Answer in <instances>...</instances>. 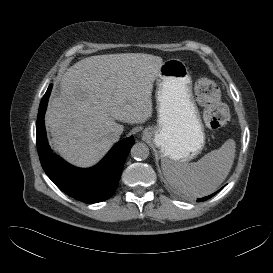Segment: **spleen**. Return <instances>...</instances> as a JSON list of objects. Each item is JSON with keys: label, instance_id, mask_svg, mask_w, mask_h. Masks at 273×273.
Wrapping results in <instances>:
<instances>
[{"label": "spleen", "instance_id": "3e777b00", "mask_svg": "<svg viewBox=\"0 0 273 273\" xmlns=\"http://www.w3.org/2000/svg\"><path fill=\"white\" fill-rule=\"evenodd\" d=\"M235 148V141L228 139L219 149L207 153L197 162L162 161L163 174L168 184L182 195L194 198L209 195L228 176Z\"/></svg>", "mask_w": 273, "mask_h": 273}]
</instances>
